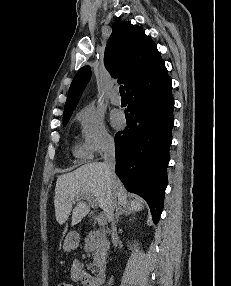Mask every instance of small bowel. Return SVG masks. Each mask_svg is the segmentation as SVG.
Returning <instances> with one entry per match:
<instances>
[{"label":"small bowel","instance_id":"obj_1","mask_svg":"<svg viewBox=\"0 0 231 286\" xmlns=\"http://www.w3.org/2000/svg\"><path fill=\"white\" fill-rule=\"evenodd\" d=\"M70 278L74 282H80L83 286H98L96 278L87 273L82 263L74 259L70 266Z\"/></svg>","mask_w":231,"mask_h":286}]
</instances>
